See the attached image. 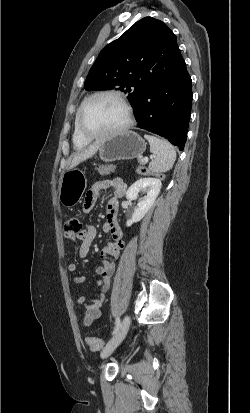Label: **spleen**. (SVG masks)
Here are the masks:
<instances>
[{
    "mask_svg": "<svg viewBox=\"0 0 250 413\" xmlns=\"http://www.w3.org/2000/svg\"><path fill=\"white\" fill-rule=\"evenodd\" d=\"M144 137L148 140L150 151L154 155L149 163V170L152 173H162L170 170L176 160L174 147L167 140L150 135H145Z\"/></svg>",
    "mask_w": 250,
    "mask_h": 413,
    "instance_id": "obj_1",
    "label": "spleen"
}]
</instances>
